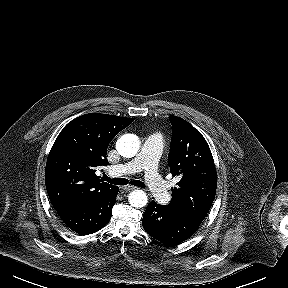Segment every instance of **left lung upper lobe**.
Here are the masks:
<instances>
[{
	"label": "left lung upper lobe",
	"mask_w": 288,
	"mask_h": 288,
	"mask_svg": "<svg viewBox=\"0 0 288 288\" xmlns=\"http://www.w3.org/2000/svg\"><path fill=\"white\" fill-rule=\"evenodd\" d=\"M173 124L168 164L179 182L172 189L171 210L202 222L216 194L217 174L210 148L203 135L177 116Z\"/></svg>",
	"instance_id": "5c2ea615"
}]
</instances>
